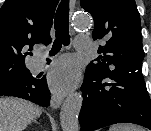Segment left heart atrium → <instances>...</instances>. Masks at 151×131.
<instances>
[{
	"label": "left heart atrium",
	"mask_w": 151,
	"mask_h": 131,
	"mask_svg": "<svg viewBox=\"0 0 151 131\" xmlns=\"http://www.w3.org/2000/svg\"><path fill=\"white\" fill-rule=\"evenodd\" d=\"M78 72L75 64L67 58L58 61L49 73V84L57 94L71 89L77 81Z\"/></svg>",
	"instance_id": "39dd6f15"
}]
</instances>
